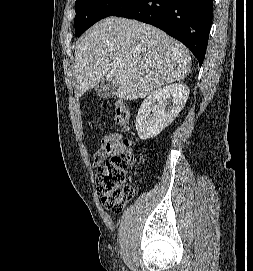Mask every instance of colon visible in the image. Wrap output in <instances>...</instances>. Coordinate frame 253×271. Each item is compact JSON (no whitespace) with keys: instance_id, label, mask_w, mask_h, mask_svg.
<instances>
[{"instance_id":"5ec220e1","label":"colon","mask_w":253,"mask_h":271,"mask_svg":"<svg viewBox=\"0 0 253 271\" xmlns=\"http://www.w3.org/2000/svg\"><path fill=\"white\" fill-rule=\"evenodd\" d=\"M114 123L127 130L131 121L130 110L126 104L116 101L114 104ZM125 151L103 159L97 168L96 191L102 205L112 213H119L134 195L129 183V175L134 164V155L129 149L131 141L124 139Z\"/></svg>"}]
</instances>
